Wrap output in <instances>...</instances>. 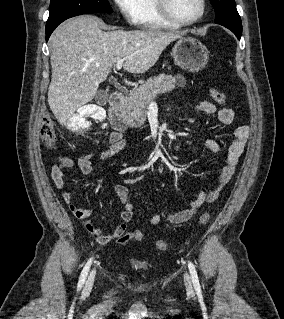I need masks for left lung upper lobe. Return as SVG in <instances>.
<instances>
[{
  "label": "left lung upper lobe",
  "mask_w": 284,
  "mask_h": 319,
  "mask_svg": "<svg viewBox=\"0 0 284 319\" xmlns=\"http://www.w3.org/2000/svg\"><path fill=\"white\" fill-rule=\"evenodd\" d=\"M216 13L215 23L242 28L234 0H210Z\"/></svg>",
  "instance_id": "left-lung-upper-lobe-1"
}]
</instances>
